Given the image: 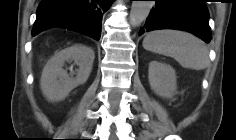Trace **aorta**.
Instances as JSON below:
<instances>
[{"mask_svg": "<svg viewBox=\"0 0 236 140\" xmlns=\"http://www.w3.org/2000/svg\"><path fill=\"white\" fill-rule=\"evenodd\" d=\"M152 1H133L129 22L133 27L139 26L148 17L152 8Z\"/></svg>", "mask_w": 236, "mask_h": 140, "instance_id": "obj_1", "label": "aorta"}]
</instances>
